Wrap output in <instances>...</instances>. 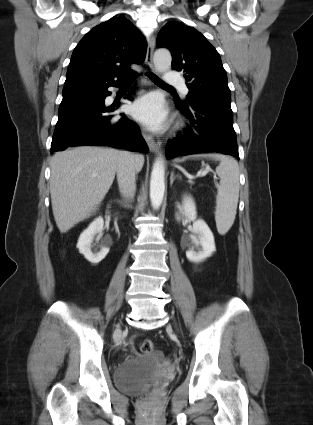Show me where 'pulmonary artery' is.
<instances>
[{
    "label": "pulmonary artery",
    "instance_id": "e3ab8cb5",
    "mask_svg": "<svg viewBox=\"0 0 313 425\" xmlns=\"http://www.w3.org/2000/svg\"><path fill=\"white\" fill-rule=\"evenodd\" d=\"M165 83L168 85L181 86L183 93L184 94L188 93V88L183 84L182 77L174 71H167L165 73Z\"/></svg>",
    "mask_w": 313,
    "mask_h": 425
}]
</instances>
